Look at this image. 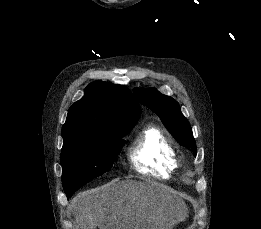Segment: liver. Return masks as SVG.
Wrapping results in <instances>:
<instances>
[{
    "mask_svg": "<svg viewBox=\"0 0 261 229\" xmlns=\"http://www.w3.org/2000/svg\"><path fill=\"white\" fill-rule=\"evenodd\" d=\"M150 185L123 181L114 187L112 197L107 191H86L74 197L72 211L81 229H95L101 225L104 229H150L161 227L157 215L162 217V209L153 189L149 197Z\"/></svg>",
    "mask_w": 261,
    "mask_h": 229,
    "instance_id": "1",
    "label": "liver"
}]
</instances>
